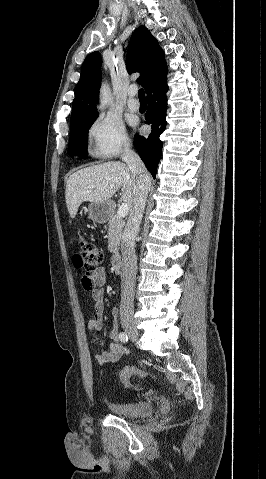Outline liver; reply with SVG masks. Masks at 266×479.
<instances>
[{"label": "liver", "instance_id": "liver-1", "mask_svg": "<svg viewBox=\"0 0 266 479\" xmlns=\"http://www.w3.org/2000/svg\"><path fill=\"white\" fill-rule=\"evenodd\" d=\"M121 188V200L131 210L136 197V181L128 165L105 162L74 172L67 180L65 199L71 218L84 201L108 202Z\"/></svg>", "mask_w": 266, "mask_h": 479}]
</instances>
